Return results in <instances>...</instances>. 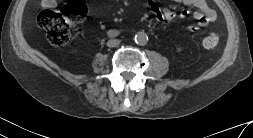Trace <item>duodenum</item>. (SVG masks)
<instances>
[{
  "label": "duodenum",
  "instance_id": "duodenum-1",
  "mask_svg": "<svg viewBox=\"0 0 253 138\" xmlns=\"http://www.w3.org/2000/svg\"><path fill=\"white\" fill-rule=\"evenodd\" d=\"M120 33V31H110L109 34H112V35H118Z\"/></svg>",
  "mask_w": 253,
  "mask_h": 138
}]
</instances>
